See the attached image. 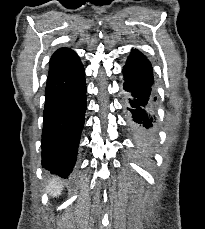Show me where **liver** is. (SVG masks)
I'll use <instances>...</instances> for the list:
<instances>
[{"mask_svg": "<svg viewBox=\"0 0 205 229\" xmlns=\"http://www.w3.org/2000/svg\"><path fill=\"white\" fill-rule=\"evenodd\" d=\"M63 186L61 182L56 179H53L49 182L47 186V191L51 194L52 197H57L61 194Z\"/></svg>", "mask_w": 205, "mask_h": 229, "instance_id": "6515ba94", "label": "liver"}]
</instances>
